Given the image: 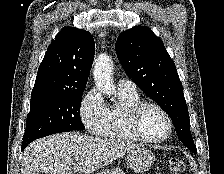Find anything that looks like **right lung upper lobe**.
I'll return each instance as SVG.
<instances>
[{"label": "right lung upper lobe", "instance_id": "obj_1", "mask_svg": "<svg viewBox=\"0 0 224 174\" xmlns=\"http://www.w3.org/2000/svg\"><path fill=\"white\" fill-rule=\"evenodd\" d=\"M94 53V39L88 32L63 28L40 64L31 97L83 93Z\"/></svg>", "mask_w": 224, "mask_h": 174}]
</instances>
